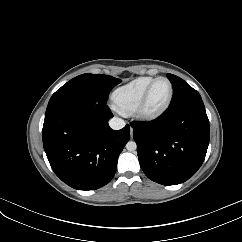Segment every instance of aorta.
Returning a JSON list of instances; mask_svg holds the SVG:
<instances>
[{"mask_svg": "<svg viewBox=\"0 0 242 242\" xmlns=\"http://www.w3.org/2000/svg\"><path fill=\"white\" fill-rule=\"evenodd\" d=\"M126 148L128 151H135L136 148H137V144L136 142L134 141H129L127 144H126Z\"/></svg>", "mask_w": 242, "mask_h": 242, "instance_id": "obj_1", "label": "aorta"}]
</instances>
